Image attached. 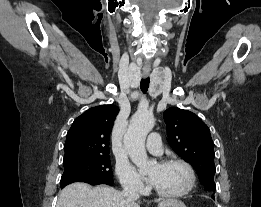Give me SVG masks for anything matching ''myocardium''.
<instances>
[{
  "label": "myocardium",
  "mask_w": 261,
  "mask_h": 207,
  "mask_svg": "<svg viewBox=\"0 0 261 207\" xmlns=\"http://www.w3.org/2000/svg\"><path fill=\"white\" fill-rule=\"evenodd\" d=\"M160 164L161 165H172V164L181 165L187 172L188 182H187V185L185 186V188H183L182 190H180L178 192H165V191L158 189L157 187H155L153 185L154 191L159 196L165 197V198H180V197L187 195L188 193H190L192 191V189L194 188V185H195V173H194L192 166L188 162H186L182 159H179V158H169V159L162 160L160 162Z\"/></svg>",
  "instance_id": "f54148a6"
}]
</instances>
